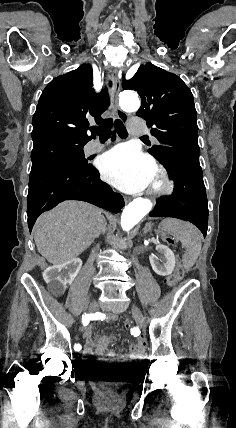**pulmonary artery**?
<instances>
[{"instance_id":"pulmonary-artery-1","label":"pulmonary artery","mask_w":236,"mask_h":428,"mask_svg":"<svg viewBox=\"0 0 236 428\" xmlns=\"http://www.w3.org/2000/svg\"><path fill=\"white\" fill-rule=\"evenodd\" d=\"M104 147L105 145L100 144L97 141H91L86 145L85 152L86 154H95L97 152H100Z\"/></svg>"}]
</instances>
